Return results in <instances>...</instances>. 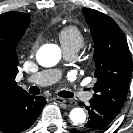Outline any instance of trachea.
Returning <instances> with one entry per match:
<instances>
[{
    "instance_id": "trachea-1",
    "label": "trachea",
    "mask_w": 133,
    "mask_h": 133,
    "mask_svg": "<svg viewBox=\"0 0 133 133\" xmlns=\"http://www.w3.org/2000/svg\"><path fill=\"white\" fill-rule=\"evenodd\" d=\"M29 92H30L31 94L37 95V94H39V89H38L37 87H31L30 90H29ZM58 95H59L60 97H63V98H72V97L74 96V94L71 93V92H69V91H60V92L58 93Z\"/></svg>"
}]
</instances>
